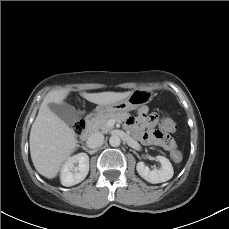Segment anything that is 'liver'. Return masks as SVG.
<instances>
[{
  "instance_id": "6515ba94",
  "label": "liver",
  "mask_w": 229,
  "mask_h": 229,
  "mask_svg": "<svg viewBox=\"0 0 229 229\" xmlns=\"http://www.w3.org/2000/svg\"><path fill=\"white\" fill-rule=\"evenodd\" d=\"M127 92H80L89 102L104 105L130 96ZM69 90L60 88L46 94L30 131V154L35 169L48 179L55 178L64 163L78 147L75 132L50 108V103L62 104Z\"/></svg>"
}]
</instances>
